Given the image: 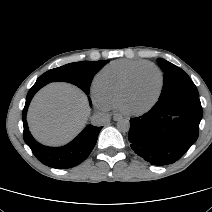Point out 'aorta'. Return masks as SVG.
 Masks as SVG:
<instances>
[{"mask_svg":"<svg viewBox=\"0 0 212 212\" xmlns=\"http://www.w3.org/2000/svg\"><path fill=\"white\" fill-rule=\"evenodd\" d=\"M117 129L121 132H128L130 129V122L127 119H122L118 121Z\"/></svg>","mask_w":212,"mask_h":212,"instance_id":"obj_1","label":"aorta"}]
</instances>
